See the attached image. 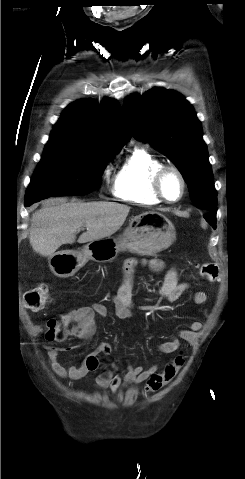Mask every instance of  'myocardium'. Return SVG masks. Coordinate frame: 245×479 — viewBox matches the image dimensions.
Here are the masks:
<instances>
[{
  "label": "myocardium",
  "instance_id": "myocardium-1",
  "mask_svg": "<svg viewBox=\"0 0 245 479\" xmlns=\"http://www.w3.org/2000/svg\"><path fill=\"white\" fill-rule=\"evenodd\" d=\"M168 174L176 175V177L180 181L181 192H180V195L175 200H171L167 198L164 192V188H163L164 180ZM152 186H153L154 193L157 195V197L161 201L166 203H177L181 201L183 197L185 196L186 189H187V183L183 173L176 166H173V165H163L162 167H160L153 176Z\"/></svg>",
  "mask_w": 245,
  "mask_h": 479
}]
</instances>
